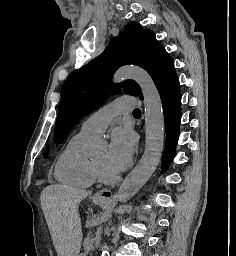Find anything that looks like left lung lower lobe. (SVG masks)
Returning <instances> with one entry per match:
<instances>
[{
  "label": "left lung lower lobe",
  "instance_id": "obj_1",
  "mask_svg": "<svg viewBox=\"0 0 236 256\" xmlns=\"http://www.w3.org/2000/svg\"><path fill=\"white\" fill-rule=\"evenodd\" d=\"M179 80L174 70L162 78L156 85L161 97L166 129V146L162 169L165 170L175 155L181 120V95ZM140 99H143L141 97Z\"/></svg>",
  "mask_w": 236,
  "mask_h": 256
}]
</instances>
